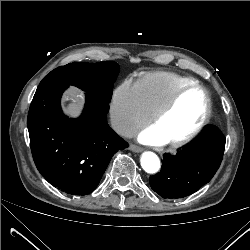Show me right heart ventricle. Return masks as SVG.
Listing matches in <instances>:
<instances>
[{
  "mask_svg": "<svg viewBox=\"0 0 250 250\" xmlns=\"http://www.w3.org/2000/svg\"><path fill=\"white\" fill-rule=\"evenodd\" d=\"M194 82V79L174 72L158 71L148 73L136 81L141 98L153 116L180 86Z\"/></svg>",
  "mask_w": 250,
  "mask_h": 250,
  "instance_id": "right-heart-ventricle-1",
  "label": "right heart ventricle"
}]
</instances>
